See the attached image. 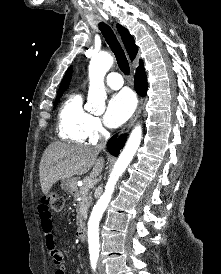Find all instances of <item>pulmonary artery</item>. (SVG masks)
<instances>
[{
    "mask_svg": "<svg viewBox=\"0 0 221 274\" xmlns=\"http://www.w3.org/2000/svg\"><path fill=\"white\" fill-rule=\"evenodd\" d=\"M106 84L110 88L117 90L120 89L123 85V79L121 75L117 72L109 73L106 77Z\"/></svg>",
    "mask_w": 221,
    "mask_h": 274,
    "instance_id": "1",
    "label": "pulmonary artery"
}]
</instances>
